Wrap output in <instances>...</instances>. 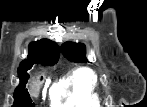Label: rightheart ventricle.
I'll return each mask as SVG.
<instances>
[{
	"instance_id": "e07e8e85",
	"label": "right heart ventricle",
	"mask_w": 147,
	"mask_h": 107,
	"mask_svg": "<svg viewBox=\"0 0 147 107\" xmlns=\"http://www.w3.org/2000/svg\"><path fill=\"white\" fill-rule=\"evenodd\" d=\"M51 96L62 107H96L100 103L97 74L86 67L74 69L52 88Z\"/></svg>"
}]
</instances>
